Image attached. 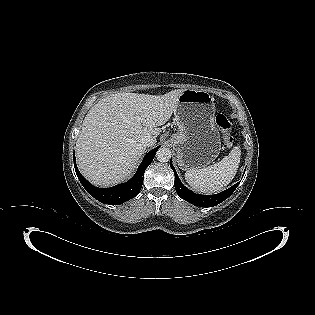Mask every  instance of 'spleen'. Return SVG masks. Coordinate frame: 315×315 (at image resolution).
<instances>
[{"label": "spleen", "mask_w": 315, "mask_h": 315, "mask_svg": "<svg viewBox=\"0 0 315 315\" xmlns=\"http://www.w3.org/2000/svg\"><path fill=\"white\" fill-rule=\"evenodd\" d=\"M241 150L235 146L228 156L220 162L202 169H191L185 173L186 182L196 191L202 193H215L227 186L235 177Z\"/></svg>", "instance_id": "3e777b00"}]
</instances>
